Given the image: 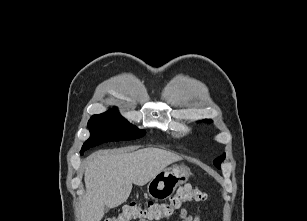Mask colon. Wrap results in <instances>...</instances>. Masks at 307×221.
<instances>
[{"label":"colon","mask_w":307,"mask_h":221,"mask_svg":"<svg viewBox=\"0 0 307 221\" xmlns=\"http://www.w3.org/2000/svg\"><path fill=\"white\" fill-rule=\"evenodd\" d=\"M207 200L206 192L186 184L179 187L168 201L130 202L122 208L118 215L106 218L104 221H161L171 217L184 204Z\"/></svg>","instance_id":"obj_1"}]
</instances>
